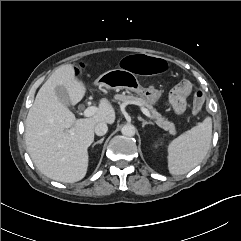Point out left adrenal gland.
<instances>
[{
  "mask_svg": "<svg viewBox=\"0 0 241 241\" xmlns=\"http://www.w3.org/2000/svg\"><path fill=\"white\" fill-rule=\"evenodd\" d=\"M139 121H142V127H145V125H153V122H147L146 120H144L141 117H138Z\"/></svg>",
  "mask_w": 241,
  "mask_h": 241,
  "instance_id": "obj_1",
  "label": "left adrenal gland"
}]
</instances>
